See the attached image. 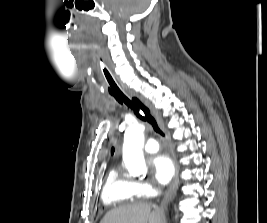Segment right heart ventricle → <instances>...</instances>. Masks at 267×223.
Instances as JSON below:
<instances>
[{
  "mask_svg": "<svg viewBox=\"0 0 267 223\" xmlns=\"http://www.w3.org/2000/svg\"><path fill=\"white\" fill-rule=\"evenodd\" d=\"M138 195L135 182L119 168H112L105 180L101 199L109 206L132 201Z\"/></svg>",
  "mask_w": 267,
  "mask_h": 223,
  "instance_id": "1",
  "label": "right heart ventricle"
}]
</instances>
